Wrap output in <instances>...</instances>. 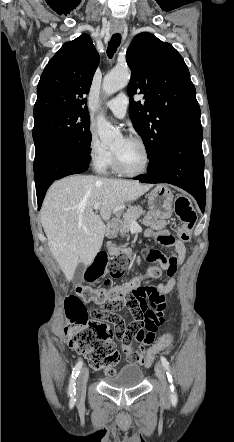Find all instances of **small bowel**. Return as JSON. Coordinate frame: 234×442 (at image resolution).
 <instances>
[{
	"mask_svg": "<svg viewBox=\"0 0 234 442\" xmlns=\"http://www.w3.org/2000/svg\"><path fill=\"white\" fill-rule=\"evenodd\" d=\"M144 222L150 226V229L145 232L147 237H154L156 239L173 237L171 245L175 249V254L166 256L159 253L156 259L158 265L169 276V280L166 283H160L156 289L161 294H169L175 286L174 274L176 269L185 259L187 253L186 246L182 241L176 239L170 231L165 229L166 222L158 219L155 213H149ZM140 286V280L135 278L122 285L126 292H130ZM100 313L93 314L92 319H87V328H94L95 331H104V333L109 334L112 331L109 323H112L113 331L117 334V341L122 343L127 359L133 361L128 364V367L133 370L139 369L140 365H144V348L155 339L157 328H164L167 321L166 314H135L134 319H131L130 322H123L121 315H115L109 308L100 309ZM136 342L138 344L134 345Z\"/></svg>",
	"mask_w": 234,
	"mask_h": 442,
	"instance_id": "1",
	"label": "small bowel"
}]
</instances>
